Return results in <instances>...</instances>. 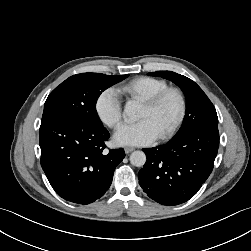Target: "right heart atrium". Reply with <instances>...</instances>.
Returning <instances> with one entry per match:
<instances>
[{
  "label": "right heart atrium",
  "instance_id": "d8ad5b80",
  "mask_svg": "<svg viewBox=\"0 0 251 251\" xmlns=\"http://www.w3.org/2000/svg\"><path fill=\"white\" fill-rule=\"evenodd\" d=\"M98 118L108 127L116 129L122 122V104L116 89L103 90L95 102Z\"/></svg>",
  "mask_w": 251,
  "mask_h": 251
}]
</instances>
